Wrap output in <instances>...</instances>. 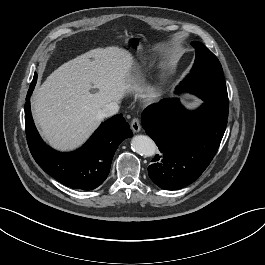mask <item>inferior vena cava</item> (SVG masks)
Wrapping results in <instances>:
<instances>
[{"mask_svg": "<svg viewBox=\"0 0 265 265\" xmlns=\"http://www.w3.org/2000/svg\"><path fill=\"white\" fill-rule=\"evenodd\" d=\"M119 110V105L116 102H111L109 104H107L104 108H102L99 112H98V117L100 119L103 118H107L110 116H113L114 114H116Z\"/></svg>", "mask_w": 265, "mask_h": 265, "instance_id": "inferior-vena-cava-1", "label": "inferior vena cava"}]
</instances>
